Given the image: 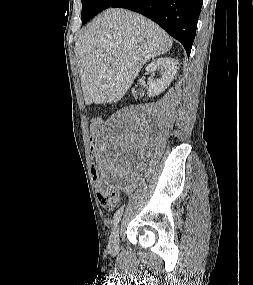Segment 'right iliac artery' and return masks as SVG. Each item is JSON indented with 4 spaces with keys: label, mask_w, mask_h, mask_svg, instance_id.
Wrapping results in <instances>:
<instances>
[{
    "label": "right iliac artery",
    "mask_w": 253,
    "mask_h": 285,
    "mask_svg": "<svg viewBox=\"0 0 253 285\" xmlns=\"http://www.w3.org/2000/svg\"><path fill=\"white\" fill-rule=\"evenodd\" d=\"M124 206L120 207L114 214L113 226H116L121 219Z\"/></svg>",
    "instance_id": "obj_1"
}]
</instances>
